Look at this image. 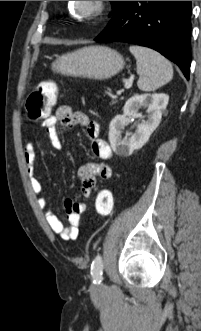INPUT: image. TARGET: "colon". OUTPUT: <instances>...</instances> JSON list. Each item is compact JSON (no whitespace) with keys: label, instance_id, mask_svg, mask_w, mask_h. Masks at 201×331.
<instances>
[{"label":"colon","instance_id":"obj_1","mask_svg":"<svg viewBox=\"0 0 201 331\" xmlns=\"http://www.w3.org/2000/svg\"><path fill=\"white\" fill-rule=\"evenodd\" d=\"M56 92V86L53 82H45L33 90L25 105L28 118L35 121L46 119L56 102ZM113 207L114 201L111 192L106 189L99 191L95 202L97 214L106 218L112 214Z\"/></svg>","mask_w":201,"mask_h":331}]
</instances>
